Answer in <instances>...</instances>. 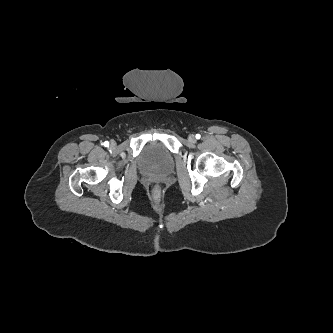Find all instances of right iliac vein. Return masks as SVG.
Listing matches in <instances>:
<instances>
[{"mask_svg": "<svg viewBox=\"0 0 333 333\" xmlns=\"http://www.w3.org/2000/svg\"><path fill=\"white\" fill-rule=\"evenodd\" d=\"M111 147H115V143L113 141L111 142Z\"/></svg>", "mask_w": 333, "mask_h": 333, "instance_id": "right-iliac-vein-1", "label": "right iliac vein"}]
</instances>
